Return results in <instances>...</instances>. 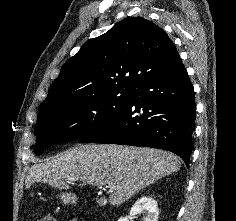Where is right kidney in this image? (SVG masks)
<instances>
[{
    "label": "right kidney",
    "instance_id": "1",
    "mask_svg": "<svg viewBox=\"0 0 236 221\" xmlns=\"http://www.w3.org/2000/svg\"><path fill=\"white\" fill-rule=\"evenodd\" d=\"M144 215V221H157L159 209L157 202L151 197H141L132 206L129 216L121 217L118 221H129L137 214Z\"/></svg>",
    "mask_w": 236,
    "mask_h": 221
}]
</instances>
